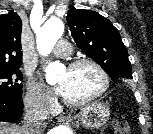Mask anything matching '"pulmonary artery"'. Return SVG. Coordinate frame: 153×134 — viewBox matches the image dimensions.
Returning <instances> with one entry per match:
<instances>
[{"instance_id": "obj_1", "label": "pulmonary artery", "mask_w": 153, "mask_h": 134, "mask_svg": "<svg viewBox=\"0 0 153 134\" xmlns=\"http://www.w3.org/2000/svg\"><path fill=\"white\" fill-rule=\"evenodd\" d=\"M71 51L70 43L67 40L58 41L56 47L53 50V54L58 57L67 56Z\"/></svg>"}]
</instances>
